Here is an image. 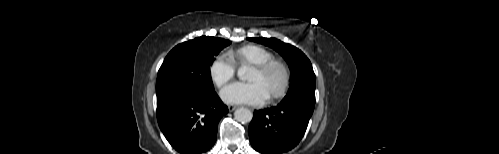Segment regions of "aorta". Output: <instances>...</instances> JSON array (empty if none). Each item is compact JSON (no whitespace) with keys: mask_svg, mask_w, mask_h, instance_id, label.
Returning <instances> with one entry per match:
<instances>
[{"mask_svg":"<svg viewBox=\"0 0 499 154\" xmlns=\"http://www.w3.org/2000/svg\"><path fill=\"white\" fill-rule=\"evenodd\" d=\"M248 68L242 66L238 69L237 75L241 80L247 79ZM234 117L238 122L248 123L252 120L253 113L247 108H239L235 111Z\"/></svg>","mask_w":499,"mask_h":154,"instance_id":"762f6f07","label":"aorta"}]
</instances>
